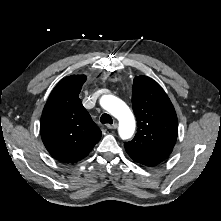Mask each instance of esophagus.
<instances>
[{"label": "esophagus", "mask_w": 221, "mask_h": 221, "mask_svg": "<svg viewBox=\"0 0 221 221\" xmlns=\"http://www.w3.org/2000/svg\"><path fill=\"white\" fill-rule=\"evenodd\" d=\"M108 129H116L117 128V123H113V124H108L107 125Z\"/></svg>", "instance_id": "obj_1"}]
</instances>
